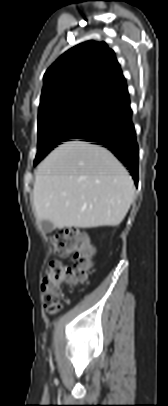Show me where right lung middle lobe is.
<instances>
[{
    "instance_id": "obj_1",
    "label": "right lung middle lobe",
    "mask_w": 168,
    "mask_h": 406,
    "mask_svg": "<svg viewBox=\"0 0 168 406\" xmlns=\"http://www.w3.org/2000/svg\"><path fill=\"white\" fill-rule=\"evenodd\" d=\"M108 103L84 101L50 112L38 119V145L34 165L61 142L77 139L104 123Z\"/></svg>"
}]
</instances>
